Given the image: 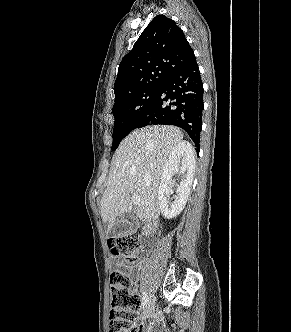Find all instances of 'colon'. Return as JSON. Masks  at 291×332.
Listing matches in <instances>:
<instances>
[{"instance_id":"colon-1","label":"colon","mask_w":291,"mask_h":332,"mask_svg":"<svg viewBox=\"0 0 291 332\" xmlns=\"http://www.w3.org/2000/svg\"><path fill=\"white\" fill-rule=\"evenodd\" d=\"M110 251L122 257L128 263L139 259L138 236L135 233H124L108 240ZM111 310L109 332H142L135 324L138 319L141 300L132 291L131 278L123 271H115L110 277Z\"/></svg>"}]
</instances>
